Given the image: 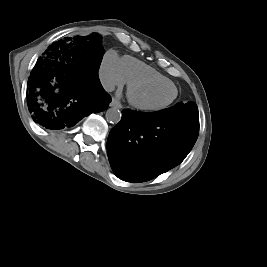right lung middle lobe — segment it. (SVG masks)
<instances>
[{
    "label": "right lung middle lobe",
    "mask_w": 267,
    "mask_h": 267,
    "mask_svg": "<svg viewBox=\"0 0 267 267\" xmlns=\"http://www.w3.org/2000/svg\"><path fill=\"white\" fill-rule=\"evenodd\" d=\"M67 41H58L54 45H51L49 49L61 44H67L81 54L86 55L90 60L100 64L104 54V49L101 45L102 37L97 33H92L88 36H78L73 39L66 38ZM47 52V51H46Z\"/></svg>",
    "instance_id": "dd1d6c3e"
}]
</instances>
